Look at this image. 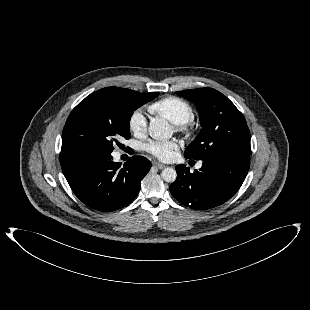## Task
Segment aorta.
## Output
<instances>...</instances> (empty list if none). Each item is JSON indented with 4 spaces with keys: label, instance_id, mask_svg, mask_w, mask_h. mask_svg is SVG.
Wrapping results in <instances>:
<instances>
[{
    "label": "aorta",
    "instance_id": "obj_1",
    "mask_svg": "<svg viewBox=\"0 0 310 310\" xmlns=\"http://www.w3.org/2000/svg\"><path fill=\"white\" fill-rule=\"evenodd\" d=\"M148 132L154 139H169L173 135V129L169 123L161 117L151 119ZM161 176L164 181L172 183L176 180L177 173L174 168L167 167L162 170Z\"/></svg>",
    "mask_w": 310,
    "mask_h": 310
}]
</instances>
